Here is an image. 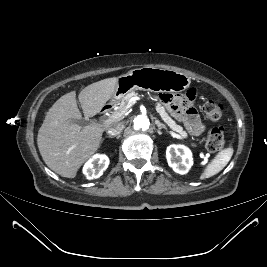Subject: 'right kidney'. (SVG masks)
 I'll return each instance as SVG.
<instances>
[{
    "label": "right kidney",
    "instance_id": "ca27d5eb",
    "mask_svg": "<svg viewBox=\"0 0 267 267\" xmlns=\"http://www.w3.org/2000/svg\"><path fill=\"white\" fill-rule=\"evenodd\" d=\"M109 165V158L106 155H94L83 167V173L87 179L99 178Z\"/></svg>",
    "mask_w": 267,
    "mask_h": 267
}]
</instances>
